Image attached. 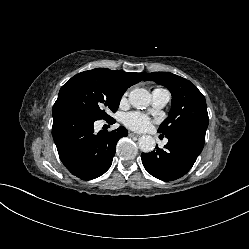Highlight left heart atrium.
Listing matches in <instances>:
<instances>
[{"label": "left heart atrium", "mask_w": 249, "mask_h": 249, "mask_svg": "<svg viewBox=\"0 0 249 249\" xmlns=\"http://www.w3.org/2000/svg\"><path fill=\"white\" fill-rule=\"evenodd\" d=\"M124 124L133 130H145L150 126V119L140 112H130L124 116Z\"/></svg>", "instance_id": "obj_1"}]
</instances>
